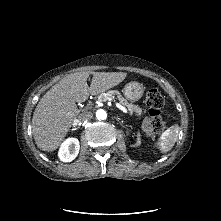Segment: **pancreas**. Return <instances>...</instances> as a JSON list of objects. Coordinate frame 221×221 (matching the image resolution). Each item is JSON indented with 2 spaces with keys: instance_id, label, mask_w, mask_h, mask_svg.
Returning a JSON list of instances; mask_svg holds the SVG:
<instances>
[{
  "instance_id": "obj_1",
  "label": "pancreas",
  "mask_w": 221,
  "mask_h": 221,
  "mask_svg": "<svg viewBox=\"0 0 221 221\" xmlns=\"http://www.w3.org/2000/svg\"><path fill=\"white\" fill-rule=\"evenodd\" d=\"M106 96H110L112 98L116 97L119 100V103L127 107L130 113H135L136 115L141 116L143 111L138 105H134L132 103H129L123 96L116 90H110L107 93H102L99 95L98 98L104 99Z\"/></svg>"
}]
</instances>
